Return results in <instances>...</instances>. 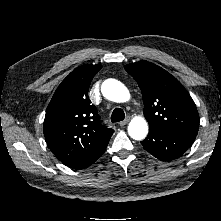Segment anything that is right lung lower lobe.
Wrapping results in <instances>:
<instances>
[{"label":"right lung lower lobe","instance_id":"right-lung-lower-lobe-1","mask_svg":"<svg viewBox=\"0 0 221 221\" xmlns=\"http://www.w3.org/2000/svg\"><path fill=\"white\" fill-rule=\"evenodd\" d=\"M106 149V148H105ZM104 150H102L101 152H99L98 154L94 155L92 158L82 162L81 164L73 167L75 169H83V168H86L88 166H90L92 163H94L103 153H104Z\"/></svg>","mask_w":221,"mask_h":221}]
</instances>
